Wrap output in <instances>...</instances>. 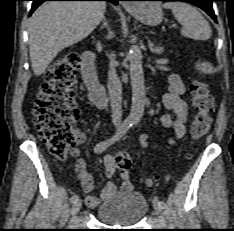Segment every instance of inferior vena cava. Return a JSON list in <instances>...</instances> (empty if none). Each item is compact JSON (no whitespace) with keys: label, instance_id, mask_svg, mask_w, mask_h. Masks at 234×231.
I'll list each match as a JSON object with an SVG mask.
<instances>
[{"label":"inferior vena cava","instance_id":"1","mask_svg":"<svg viewBox=\"0 0 234 231\" xmlns=\"http://www.w3.org/2000/svg\"><path fill=\"white\" fill-rule=\"evenodd\" d=\"M110 62L108 72V92L110 97V105L112 112V121L114 125H119L122 118V85L116 73L115 55Z\"/></svg>","mask_w":234,"mask_h":231}]
</instances>
